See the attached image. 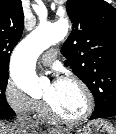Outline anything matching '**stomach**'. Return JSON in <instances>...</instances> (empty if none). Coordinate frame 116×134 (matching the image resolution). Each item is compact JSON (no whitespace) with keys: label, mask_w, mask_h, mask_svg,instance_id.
Instances as JSON below:
<instances>
[{"label":"stomach","mask_w":116,"mask_h":134,"mask_svg":"<svg viewBox=\"0 0 116 134\" xmlns=\"http://www.w3.org/2000/svg\"><path fill=\"white\" fill-rule=\"evenodd\" d=\"M59 134H72L69 130H64ZM78 134H116L113 125L105 120L90 121Z\"/></svg>","instance_id":"obj_1"}]
</instances>
